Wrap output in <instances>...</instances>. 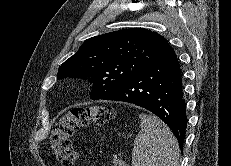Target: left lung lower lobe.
I'll use <instances>...</instances> for the list:
<instances>
[{
  "mask_svg": "<svg viewBox=\"0 0 231 166\" xmlns=\"http://www.w3.org/2000/svg\"><path fill=\"white\" fill-rule=\"evenodd\" d=\"M143 107L164 121L182 149L187 127L182 73L169 45L156 59L101 98Z\"/></svg>",
  "mask_w": 231,
  "mask_h": 166,
  "instance_id": "1",
  "label": "left lung lower lobe"
}]
</instances>
